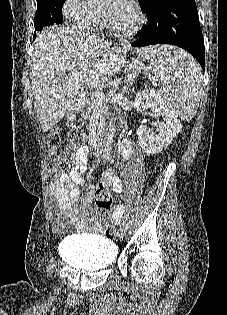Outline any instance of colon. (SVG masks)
Here are the masks:
<instances>
[{"label": "colon", "instance_id": "colon-1", "mask_svg": "<svg viewBox=\"0 0 227 315\" xmlns=\"http://www.w3.org/2000/svg\"><path fill=\"white\" fill-rule=\"evenodd\" d=\"M68 139L71 145L70 150L57 153L61 145V134L59 131H52L47 139L46 145L51 153V157L47 160L44 166V178L47 182L56 180L61 174L67 172L73 161L72 150L81 146L85 140L84 134L79 130H71L68 135ZM112 196L107 188L100 187L95 193V203L97 207V216L103 226H110L111 221L107 219L112 209ZM119 233V230L111 226L106 230L107 237H115Z\"/></svg>", "mask_w": 227, "mask_h": 315}]
</instances>
